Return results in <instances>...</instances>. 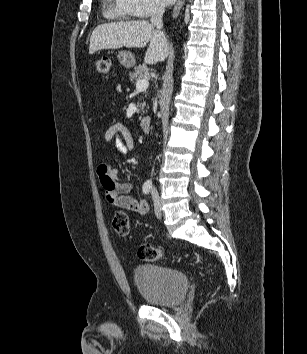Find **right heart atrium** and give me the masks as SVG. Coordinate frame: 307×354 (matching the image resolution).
Segmentation results:
<instances>
[{"label":"right heart atrium","instance_id":"d8ad5b80","mask_svg":"<svg viewBox=\"0 0 307 354\" xmlns=\"http://www.w3.org/2000/svg\"><path fill=\"white\" fill-rule=\"evenodd\" d=\"M136 16L147 17L161 10L159 0H127Z\"/></svg>","mask_w":307,"mask_h":354}]
</instances>
